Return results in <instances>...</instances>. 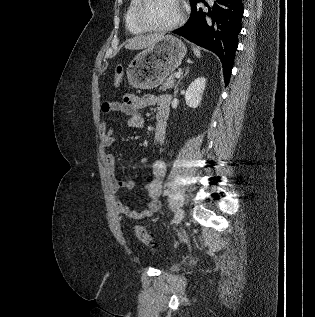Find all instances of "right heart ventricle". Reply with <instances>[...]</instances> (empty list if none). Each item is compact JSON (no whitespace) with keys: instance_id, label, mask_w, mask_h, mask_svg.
Listing matches in <instances>:
<instances>
[{"instance_id":"1","label":"right heart ventricle","mask_w":315,"mask_h":317,"mask_svg":"<svg viewBox=\"0 0 315 317\" xmlns=\"http://www.w3.org/2000/svg\"><path fill=\"white\" fill-rule=\"evenodd\" d=\"M137 4L138 0H130L124 16L127 30L134 35H140L145 32V30L140 28L135 21L134 13Z\"/></svg>"}]
</instances>
